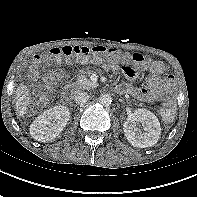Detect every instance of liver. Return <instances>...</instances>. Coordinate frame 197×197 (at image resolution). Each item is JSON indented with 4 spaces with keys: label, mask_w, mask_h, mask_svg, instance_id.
Masks as SVG:
<instances>
[{
    "label": "liver",
    "mask_w": 197,
    "mask_h": 197,
    "mask_svg": "<svg viewBox=\"0 0 197 197\" xmlns=\"http://www.w3.org/2000/svg\"><path fill=\"white\" fill-rule=\"evenodd\" d=\"M15 109L18 117L24 116L30 104L29 90L27 86L20 84L15 91Z\"/></svg>",
    "instance_id": "6515ba94"
}]
</instances>
